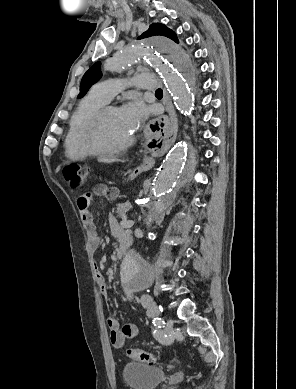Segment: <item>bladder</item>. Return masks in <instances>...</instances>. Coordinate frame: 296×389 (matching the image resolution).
I'll return each mask as SVG.
<instances>
[{
    "label": "bladder",
    "instance_id": "obj_1",
    "mask_svg": "<svg viewBox=\"0 0 296 389\" xmlns=\"http://www.w3.org/2000/svg\"><path fill=\"white\" fill-rule=\"evenodd\" d=\"M122 376L129 389H155L165 380L166 374L159 367L128 362L123 368Z\"/></svg>",
    "mask_w": 296,
    "mask_h": 389
}]
</instances>
